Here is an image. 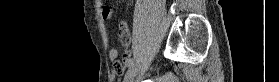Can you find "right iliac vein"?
Segmentation results:
<instances>
[{
  "label": "right iliac vein",
  "mask_w": 279,
  "mask_h": 82,
  "mask_svg": "<svg viewBox=\"0 0 279 82\" xmlns=\"http://www.w3.org/2000/svg\"><path fill=\"white\" fill-rule=\"evenodd\" d=\"M138 73V67H131L125 75L124 82H133V79Z\"/></svg>",
  "instance_id": "1"
}]
</instances>
